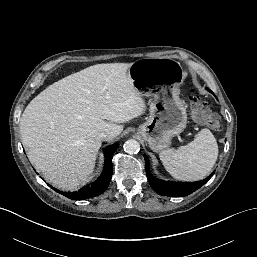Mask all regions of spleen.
<instances>
[{"mask_svg":"<svg viewBox=\"0 0 257 257\" xmlns=\"http://www.w3.org/2000/svg\"><path fill=\"white\" fill-rule=\"evenodd\" d=\"M165 169L178 180L197 181L205 178L212 170L218 157V145L207 128L195 135L187 145L164 150L159 154Z\"/></svg>","mask_w":257,"mask_h":257,"instance_id":"1","label":"spleen"}]
</instances>
